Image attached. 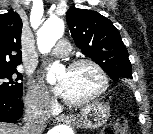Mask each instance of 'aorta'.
<instances>
[{
  "label": "aorta",
  "mask_w": 153,
  "mask_h": 134,
  "mask_svg": "<svg viewBox=\"0 0 153 134\" xmlns=\"http://www.w3.org/2000/svg\"><path fill=\"white\" fill-rule=\"evenodd\" d=\"M64 22L58 17L49 18L37 32V46L41 53H48L55 45L56 41L63 35ZM60 70L59 65L53 64L48 68L47 81L54 83L56 73ZM55 134H71L70 128L59 126L55 129Z\"/></svg>",
  "instance_id": "1"
}]
</instances>
